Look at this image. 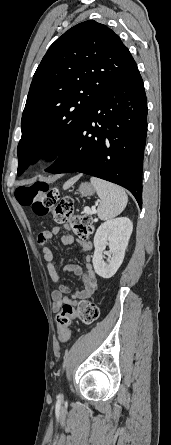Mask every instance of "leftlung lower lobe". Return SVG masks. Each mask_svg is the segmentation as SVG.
<instances>
[{
  "instance_id": "left-lung-lower-lobe-1",
  "label": "left lung lower lobe",
  "mask_w": 171,
  "mask_h": 445,
  "mask_svg": "<svg viewBox=\"0 0 171 445\" xmlns=\"http://www.w3.org/2000/svg\"><path fill=\"white\" fill-rule=\"evenodd\" d=\"M147 101L136 67L89 107L50 173L80 172L128 189L142 206Z\"/></svg>"
}]
</instances>
